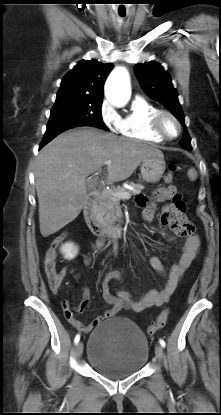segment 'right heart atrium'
I'll return each mask as SVG.
<instances>
[{"mask_svg":"<svg viewBox=\"0 0 221 415\" xmlns=\"http://www.w3.org/2000/svg\"><path fill=\"white\" fill-rule=\"evenodd\" d=\"M100 118L104 126L110 131H117L119 126V115L108 103L103 102L100 108Z\"/></svg>","mask_w":221,"mask_h":415,"instance_id":"1","label":"right heart atrium"}]
</instances>
